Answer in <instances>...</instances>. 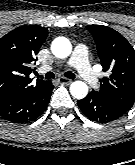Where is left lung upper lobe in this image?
I'll use <instances>...</instances> for the list:
<instances>
[{"label": "left lung upper lobe", "mask_w": 135, "mask_h": 165, "mask_svg": "<svg viewBox=\"0 0 135 165\" xmlns=\"http://www.w3.org/2000/svg\"><path fill=\"white\" fill-rule=\"evenodd\" d=\"M86 28L96 42L103 71L109 74L100 80V91L96 93L127 113L135 102V50L119 32L108 26Z\"/></svg>", "instance_id": "obj_1"}]
</instances>
